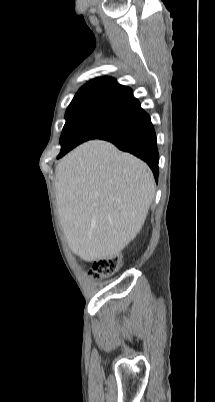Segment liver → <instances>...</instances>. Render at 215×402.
I'll list each match as a JSON object with an SVG mask.
<instances>
[{
  "instance_id": "6515ba94",
  "label": "liver",
  "mask_w": 215,
  "mask_h": 402,
  "mask_svg": "<svg viewBox=\"0 0 215 402\" xmlns=\"http://www.w3.org/2000/svg\"><path fill=\"white\" fill-rule=\"evenodd\" d=\"M54 185L67 244L87 262L118 255L140 232L155 196L148 165L102 140L63 157Z\"/></svg>"
}]
</instances>
